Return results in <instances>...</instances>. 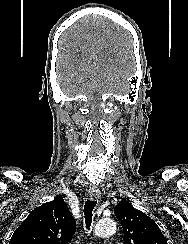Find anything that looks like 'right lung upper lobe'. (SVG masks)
<instances>
[{
  "label": "right lung upper lobe",
  "instance_id": "obj_1",
  "mask_svg": "<svg viewBox=\"0 0 188 244\" xmlns=\"http://www.w3.org/2000/svg\"><path fill=\"white\" fill-rule=\"evenodd\" d=\"M75 230L76 222L67 204L56 197L30 212L9 244H68Z\"/></svg>",
  "mask_w": 188,
  "mask_h": 244
}]
</instances>
